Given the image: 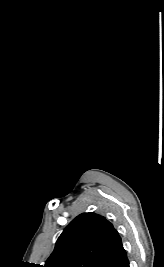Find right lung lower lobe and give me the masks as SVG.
<instances>
[{
  "mask_svg": "<svg viewBox=\"0 0 164 267\" xmlns=\"http://www.w3.org/2000/svg\"><path fill=\"white\" fill-rule=\"evenodd\" d=\"M99 267H129V261L124 248L105 260Z\"/></svg>",
  "mask_w": 164,
  "mask_h": 267,
  "instance_id": "obj_1",
  "label": "right lung lower lobe"
}]
</instances>
